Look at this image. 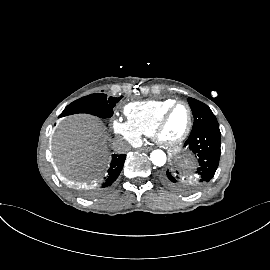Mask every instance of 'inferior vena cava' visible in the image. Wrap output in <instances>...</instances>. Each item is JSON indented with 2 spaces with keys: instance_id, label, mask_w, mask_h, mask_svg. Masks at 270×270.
<instances>
[{
  "instance_id": "1",
  "label": "inferior vena cava",
  "mask_w": 270,
  "mask_h": 270,
  "mask_svg": "<svg viewBox=\"0 0 270 270\" xmlns=\"http://www.w3.org/2000/svg\"><path fill=\"white\" fill-rule=\"evenodd\" d=\"M113 148L119 153H125L130 150V146L128 145V143L121 139H117L113 142Z\"/></svg>"
}]
</instances>
